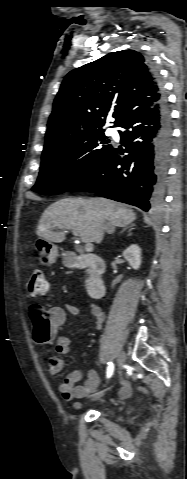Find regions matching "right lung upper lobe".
<instances>
[{"mask_svg": "<svg viewBox=\"0 0 187 479\" xmlns=\"http://www.w3.org/2000/svg\"><path fill=\"white\" fill-rule=\"evenodd\" d=\"M162 97L147 59L135 50L110 53L69 72L49 117L44 149L75 135L99 130L109 114L120 126L134 111Z\"/></svg>", "mask_w": 187, "mask_h": 479, "instance_id": "1", "label": "right lung upper lobe"}]
</instances>
